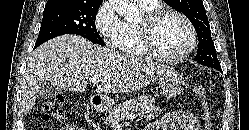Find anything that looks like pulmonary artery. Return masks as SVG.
I'll list each match as a JSON object with an SVG mask.
<instances>
[{
  "label": "pulmonary artery",
  "mask_w": 249,
  "mask_h": 130,
  "mask_svg": "<svg viewBox=\"0 0 249 130\" xmlns=\"http://www.w3.org/2000/svg\"><path fill=\"white\" fill-rule=\"evenodd\" d=\"M135 1H137V3L148 5L151 7H155L158 4L157 0H135Z\"/></svg>",
  "instance_id": "1"
}]
</instances>
